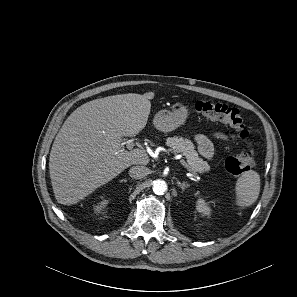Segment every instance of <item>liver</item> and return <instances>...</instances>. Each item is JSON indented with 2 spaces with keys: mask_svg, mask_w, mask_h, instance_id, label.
I'll list each match as a JSON object with an SVG mask.
<instances>
[{
  "mask_svg": "<svg viewBox=\"0 0 297 297\" xmlns=\"http://www.w3.org/2000/svg\"><path fill=\"white\" fill-rule=\"evenodd\" d=\"M154 96V92L108 96L70 114L49 158L53 192L60 204H76L129 166L149 163L144 150H124L121 141L144 129Z\"/></svg>",
  "mask_w": 297,
  "mask_h": 297,
  "instance_id": "obj_1",
  "label": "liver"
}]
</instances>
